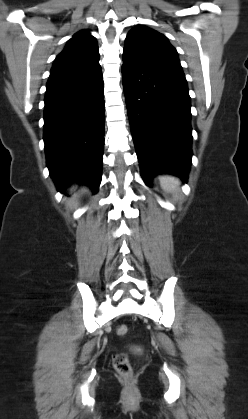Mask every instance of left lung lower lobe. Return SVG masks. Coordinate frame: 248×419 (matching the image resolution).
I'll use <instances>...</instances> for the list:
<instances>
[{
    "instance_id": "obj_1",
    "label": "left lung lower lobe",
    "mask_w": 248,
    "mask_h": 419,
    "mask_svg": "<svg viewBox=\"0 0 248 419\" xmlns=\"http://www.w3.org/2000/svg\"><path fill=\"white\" fill-rule=\"evenodd\" d=\"M122 80L141 175L159 173L184 181L191 165V104L184 74L123 53Z\"/></svg>"
}]
</instances>
